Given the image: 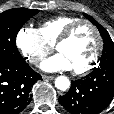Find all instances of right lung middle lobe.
<instances>
[{"label":"right lung middle lobe","mask_w":114,"mask_h":114,"mask_svg":"<svg viewBox=\"0 0 114 114\" xmlns=\"http://www.w3.org/2000/svg\"><path fill=\"white\" fill-rule=\"evenodd\" d=\"M38 10L14 8L0 14V61L16 62L23 60L16 44V36L20 28Z\"/></svg>","instance_id":"1"}]
</instances>
